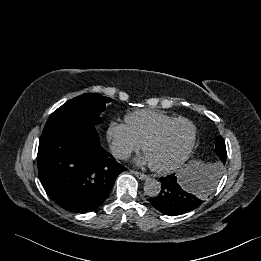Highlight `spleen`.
I'll return each instance as SVG.
<instances>
[{"instance_id": "spleen-1", "label": "spleen", "mask_w": 261, "mask_h": 261, "mask_svg": "<svg viewBox=\"0 0 261 261\" xmlns=\"http://www.w3.org/2000/svg\"><path fill=\"white\" fill-rule=\"evenodd\" d=\"M204 166L206 165L201 162H194L188 164L184 169L181 170V173L178 174L181 177V184L185 188H189L195 174L198 173L200 169L204 168Z\"/></svg>"}]
</instances>
